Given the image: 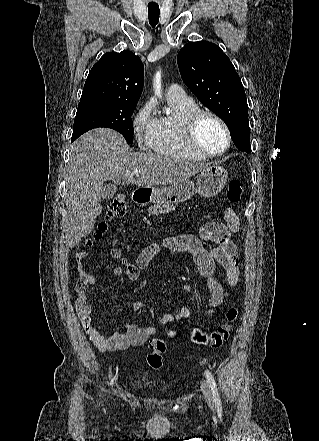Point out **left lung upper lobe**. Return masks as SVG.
I'll use <instances>...</instances> for the list:
<instances>
[{"label": "left lung upper lobe", "mask_w": 319, "mask_h": 441, "mask_svg": "<svg viewBox=\"0 0 319 441\" xmlns=\"http://www.w3.org/2000/svg\"><path fill=\"white\" fill-rule=\"evenodd\" d=\"M177 62L184 83L226 123L236 147L250 153L245 91L222 49L207 41L189 42L179 51Z\"/></svg>", "instance_id": "5c2ea615"}]
</instances>
